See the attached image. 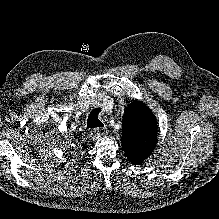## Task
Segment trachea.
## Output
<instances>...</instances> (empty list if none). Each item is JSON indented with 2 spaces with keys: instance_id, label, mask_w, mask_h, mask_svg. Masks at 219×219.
<instances>
[{
  "instance_id": "3493384b",
  "label": "trachea",
  "mask_w": 219,
  "mask_h": 219,
  "mask_svg": "<svg viewBox=\"0 0 219 219\" xmlns=\"http://www.w3.org/2000/svg\"><path fill=\"white\" fill-rule=\"evenodd\" d=\"M100 111V108L94 109L90 112L87 120V127L88 128H97V127H103V123L98 118V113Z\"/></svg>"
}]
</instances>
